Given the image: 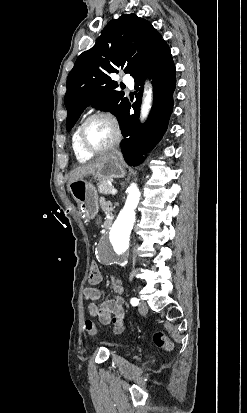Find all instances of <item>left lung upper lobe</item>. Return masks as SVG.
<instances>
[{"instance_id": "5c2ea615", "label": "left lung upper lobe", "mask_w": 247, "mask_h": 413, "mask_svg": "<svg viewBox=\"0 0 247 413\" xmlns=\"http://www.w3.org/2000/svg\"><path fill=\"white\" fill-rule=\"evenodd\" d=\"M168 47L162 36L147 20L124 14L111 20L95 45L77 58L67 78L64 102L67 108V131L90 105L110 111L121 125L129 100L116 91L117 82L110 75L125 73L137 76L161 49Z\"/></svg>"}]
</instances>
